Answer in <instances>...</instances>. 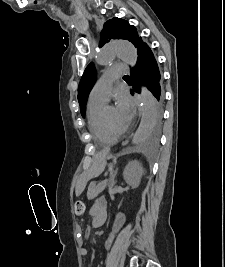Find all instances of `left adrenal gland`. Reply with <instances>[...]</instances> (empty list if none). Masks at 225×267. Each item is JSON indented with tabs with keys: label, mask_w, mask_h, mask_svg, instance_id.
<instances>
[{
	"label": "left adrenal gland",
	"mask_w": 225,
	"mask_h": 267,
	"mask_svg": "<svg viewBox=\"0 0 225 267\" xmlns=\"http://www.w3.org/2000/svg\"><path fill=\"white\" fill-rule=\"evenodd\" d=\"M116 174H117V169L116 170H113L110 173V181H109V188L110 189L113 188L114 185L116 184V181H115Z\"/></svg>",
	"instance_id": "1"
}]
</instances>
